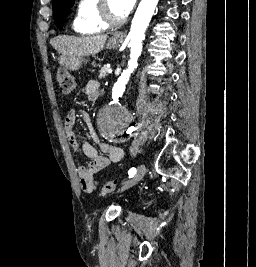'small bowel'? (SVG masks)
Here are the masks:
<instances>
[{
	"instance_id": "c3829d8e",
	"label": "small bowel",
	"mask_w": 256,
	"mask_h": 267,
	"mask_svg": "<svg viewBox=\"0 0 256 267\" xmlns=\"http://www.w3.org/2000/svg\"><path fill=\"white\" fill-rule=\"evenodd\" d=\"M85 95L90 101H96L100 96V85L98 81L91 80L85 85ZM81 116L88 124L93 140L98 143L103 155L86 140L79 139L75 133V122L77 117ZM64 130L69 143L77 151H81L92 162L88 166H79L76 170L79 183L83 191L93 193L97 188L95 175L105 170L111 163H117L124 157L121 148L102 142L87 114L70 110L64 121Z\"/></svg>"
}]
</instances>
